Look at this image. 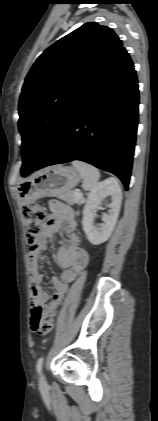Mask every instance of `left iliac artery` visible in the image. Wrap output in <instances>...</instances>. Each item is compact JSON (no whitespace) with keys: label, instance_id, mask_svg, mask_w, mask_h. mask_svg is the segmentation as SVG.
Returning <instances> with one entry per match:
<instances>
[{"label":"left iliac artery","instance_id":"44dca946","mask_svg":"<svg viewBox=\"0 0 158 421\" xmlns=\"http://www.w3.org/2000/svg\"><path fill=\"white\" fill-rule=\"evenodd\" d=\"M43 360H44V357H41L37 361L36 369H37L38 373H40V371H41V368H42V365H43Z\"/></svg>","mask_w":158,"mask_h":421}]
</instances>
